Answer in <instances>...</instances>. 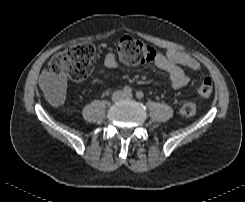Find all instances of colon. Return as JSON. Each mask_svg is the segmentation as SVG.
I'll use <instances>...</instances> for the list:
<instances>
[{"instance_id": "obj_1", "label": "colon", "mask_w": 245, "mask_h": 202, "mask_svg": "<svg viewBox=\"0 0 245 202\" xmlns=\"http://www.w3.org/2000/svg\"><path fill=\"white\" fill-rule=\"evenodd\" d=\"M94 54L95 47L91 43L69 46L51 58L49 69L54 74L64 75L73 81H81L92 73ZM117 54L123 62L131 65H143L154 60L156 51L140 39L132 35H125L118 41ZM176 60L192 70L199 69V62L184 52H179ZM213 90L211 78L206 77L198 87L197 93L200 97L207 98L212 95ZM49 97L54 103H60L63 95L59 89H51ZM181 113L185 117L194 116L196 113L195 104L193 102L185 103L181 108Z\"/></svg>"}]
</instances>
